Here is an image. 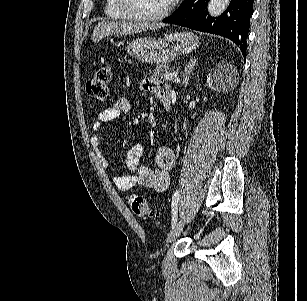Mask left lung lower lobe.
<instances>
[{
    "label": "left lung lower lobe",
    "instance_id": "obj_1",
    "mask_svg": "<svg viewBox=\"0 0 307 301\" xmlns=\"http://www.w3.org/2000/svg\"><path fill=\"white\" fill-rule=\"evenodd\" d=\"M208 1L184 0L179 9L163 22L229 38L240 47L246 58V39L253 13V0H231L225 12L217 18L208 15Z\"/></svg>",
    "mask_w": 307,
    "mask_h": 301
}]
</instances>
